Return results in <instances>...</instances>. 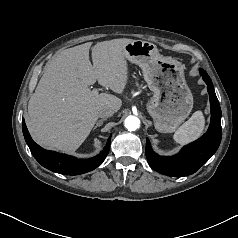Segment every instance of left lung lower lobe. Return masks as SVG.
Wrapping results in <instances>:
<instances>
[{"instance_id":"0a47b994","label":"left lung lower lobe","mask_w":238,"mask_h":238,"mask_svg":"<svg viewBox=\"0 0 238 238\" xmlns=\"http://www.w3.org/2000/svg\"><path fill=\"white\" fill-rule=\"evenodd\" d=\"M200 73L207 84L210 98L211 123L207 133L195 142L185 146L171 157L159 156L153 152L149 139H146V157L148 163L155 171L173 177H183L195 173L218 149L221 130V109L216 97L212 81L206 71Z\"/></svg>"}]
</instances>
